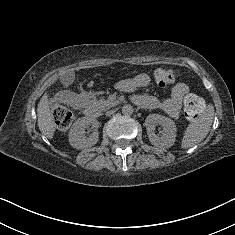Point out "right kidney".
<instances>
[{
  "label": "right kidney",
  "mask_w": 235,
  "mask_h": 235,
  "mask_svg": "<svg viewBox=\"0 0 235 235\" xmlns=\"http://www.w3.org/2000/svg\"><path fill=\"white\" fill-rule=\"evenodd\" d=\"M86 122L79 119L75 122L74 126L69 133V143L76 149H83L86 147H92L98 142L99 133L95 130L92 134L87 136L85 133Z\"/></svg>",
  "instance_id": "right-kidney-1"
}]
</instances>
